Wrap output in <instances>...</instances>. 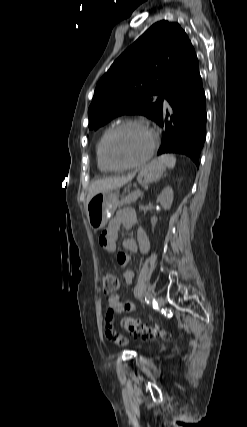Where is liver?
<instances>
[{
	"label": "liver",
	"instance_id": "obj_1",
	"mask_svg": "<svg viewBox=\"0 0 247 427\" xmlns=\"http://www.w3.org/2000/svg\"><path fill=\"white\" fill-rule=\"evenodd\" d=\"M134 176L135 173L118 178H105L94 181L89 187V192L86 199V206L96 194L120 188L127 182L131 181Z\"/></svg>",
	"mask_w": 247,
	"mask_h": 427
}]
</instances>
